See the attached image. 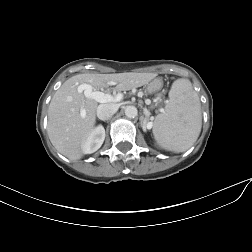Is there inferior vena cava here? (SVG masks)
Wrapping results in <instances>:
<instances>
[{
    "mask_svg": "<svg viewBox=\"0 0 252 252\" xmlns=\"http://www.w3.org/2000/svg\"><path fill=\"white\" fill-rule=\"evenodd\" d=\"M117 110V105L113 103L100 104L97 107V117L102 121L109 120L117 112Z\"/></svg>",
    "mask_w": 252,
    "mask_h": 252,
    "instance_id": "inferior-vena-cava-1",
    "label": "inferior vena cava"
}]
</instances>
